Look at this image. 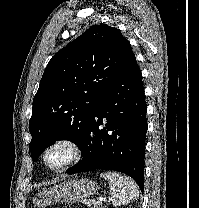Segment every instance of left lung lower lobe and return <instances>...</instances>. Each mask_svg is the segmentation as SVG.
Here are the masks:
<instances>
[{"label":"left lung lower lobe","instance_id":"obj_1","mask_svg":"<svg viewBox=\"0 0 199 208\" xmlns=\"http://www.w3.org/2000/svg\"><path fill=\"white\" fill-rule=\"evenodd\" d=\"M146 111L142 74L134 58L100 97L79 147L83 159L68 173L116 170L132 177L143 191Z\"/></svg>","mask_w":199,"mask_h":208}]
</instances>
